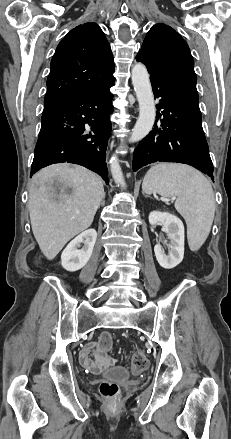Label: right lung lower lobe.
Listing matches in <instances>:
<instances>
[{
	"mask_svg": "<svg viewBox=\"0 0 231 439\" xmlns=\"http://www.w3.org/2000/svg\"><path fill=\"white\" fill-rule=\"evenodd\" d=\"M114 81L43 113L31 176L50 164L68 162L96 172L109 184L105 160Z\"/></svg>",
	"mask_w": 231,
	"mask_h": 439,
	"instance_id": "1",
	"label": "right lung lower lobe"
}]
</instances>
